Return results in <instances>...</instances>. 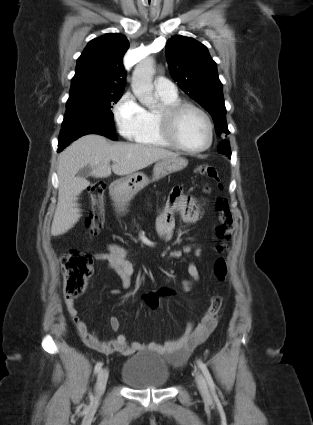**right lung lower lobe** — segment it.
Instances as JSON below:
<instances>
[{
	"label": "right lung lower lobe",
	"mask_w": 313,
	"mask_h": 425,
	"mask_svg": "<svg viewBox=\"0 0 313 425\" xmlns=\"http://www.w3.org/2000/svg\"><path fill=\"white\" fill-rule=\"evenodd\" d=\"M87 134H99L112 140L117 139L112 120L97 114L72 112L68 117H64L58 140V152L72 141Z\"/></svg>",
	"instance_id": "obj_1"
}]
</instances>
